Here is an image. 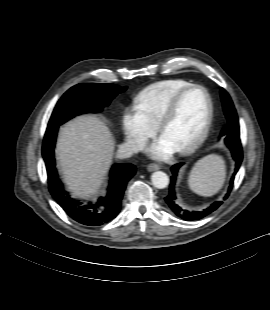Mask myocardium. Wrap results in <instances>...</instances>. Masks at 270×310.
Returning <instances> with one entry per match:
<instances>
[{
    "label": "myocardium",
    "instance_id": "myocardium-1",
    "mask_svg": "<svg viewBox=\"0 0 270 310\" xmlns=\"http://www.w3.org/2000/svg\"><path fill=\"white\" fill-rule=\"evenodd\" d=\"M202 91L207 99V115H206V119L203 125V128L201 130V132L199 133V135L193 140L191 141L188 145H186L185 147L177 150L179 154L182 155H187L190 154L192 152H194L196 149H198L203 142L206 140L210 129H211V125L213 122V116H214V104H213V100L211 97V94L209 93V91L202 85H197V84H193L190 85L186 88H184L183 90H181L180 92H178L170 101V103L168 104V106L166 107V109L164 110L159 122H158V132L160 134H162L163 129L165 128V126L170 122V120L173 118V116L175 115V113L178 110V107L180 105V102L182 101V99L190 92L192 91Z\"/></svg>",
    "mask_w": 270,
    "mask_h": 310
}]
</instances>
